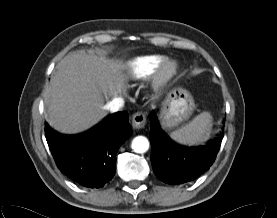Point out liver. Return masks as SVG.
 <instances>
[{
	"mask_svg": "<svg viewBox=\"0 0 277 218\" xmlns=\"http://www.w3.org/2000/svg\"><path fill=\"white\" fill-rule=\"evenodd\" d=\"M122 68L93 51L65 56L49 86V124L63 133H78L99 122L107 114L105 102L125 91Z\"/></svg>",
	"mask_w": 277,
	"mask_h": 218,
	"instance_id": "1",
	"label": "liver"
}]
</instances>
